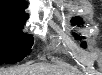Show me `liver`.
<instances>
[{
  "instance_id": "liver-1",
  "label": "liver",
  "mask_w": 102,
  "mask_h": 75,
  "mask_svg": "<svg viewBox=\"0 0 102 75\" xmlns=\"http://www.w3.org/2000/svg\"><path fill=\"white\" fill-rule=\"evenodd\" d=\"M0 75H70L68 72L46 63L33 64L31 66L2 69Z\"/></svg>"
}]
</instances>
